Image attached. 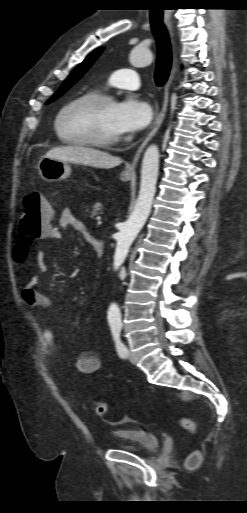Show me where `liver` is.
I'll list each match as a JSON object with an SVG mask.
<instances>
[{"mask_svg": "<svg viewBox=\"0 0 247 513\" xmlns=\"http://www.w3.org/2000/svg\"><path fill=\"white\" fill-rule=\"evenodd\" d=\"M45 157L104 169L113 168L122 162L120 158L107 152L85 146L55 147L50 149Z\"/></svg>", "mask_w": 247, "mask_h": 513, "instance_id": "1", "label": "liver"}]
</instances>
